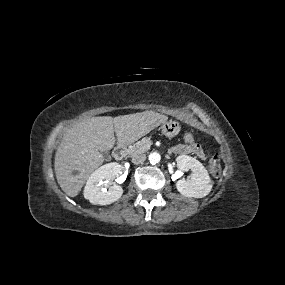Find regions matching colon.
Wrapping results in <instances>:
<instances>
[{
	"label": "colon",
	"mask_w": 285,
	"mask_h": 285,
	"mask_svg": "<svg viewBox=\"0 0 285 285\" xmlns=\"http://www.w3.org/2000/svg\"><path fill=\"white\" fill-rule=\"evenodd\" d=\"M183 140L186 145L191 146L194 144L195 139L192 132L187 131L183 135ZM210 171L212 175L219 176L221 174L222 168L219 156L211 151L210 155Z\"/></svg>",
	"instance_id": "1"
}]
</instances>
